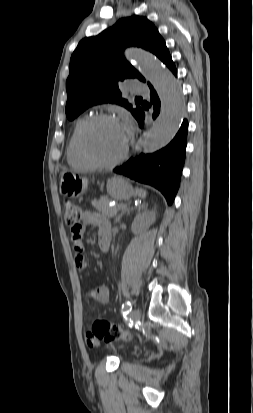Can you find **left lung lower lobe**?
I'll return each mask as SVG.
<instances>
[{
	"mask_svg": "<svg viewBox=\"0 0 253 413\" xmlns=\"http://www.w3.org/2000/svg\"><path fill=\"white\" fill-rule=\"evenodd\" d=\"M165 64L177 76V70L171 56ZM149 87L151 103L154 109L153 118H156L160 112V99L152 85H149ZM144 118L145 113L142 110L136 117L141 128L144 125ZM187 131L188 122L184 120L178 133L166 147L153 154H140L135 159L131 158L113 171L138 182L156 187L165 196L167 203L171 205L179 188L185 161Z\"/></svg>",
	"mask_w": 253,
	"mask_h": 413,
	"instance_id": "0a47b994",
	"label": "left lung lower lobe"
}]
</instances>
